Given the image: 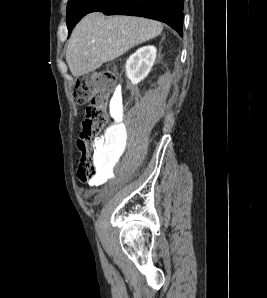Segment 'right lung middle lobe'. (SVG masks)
Masks as SVG:
<instances>
[{
    "label": "right lung middle lobe",
    "mask_w": 267,
    "mask_h": 298,
    "mask_svg": "<svg viewBox=\"0 0 267 298\" xmlns=\"http://www.w3.org/2000/svg\"><path fill=\"white\" fill-rule=\"evenodd\" d=\"M98 1L99 0H68L66 18L69 33H71L76 23L90 12Z\"/></svg>",
    "instance_id": "right-lung-middle-lobe-1"
}]
</instances>
